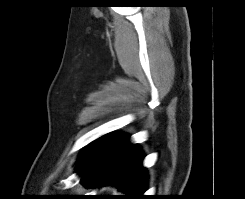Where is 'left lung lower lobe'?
Returning <instances> with one entry per match:
<instances>
[{"mask_svg":"<svg viewBox=\"0 0 245 199\" xmlns=\"http://www.w3.org/2000/svg\"><path fill=\"white\" fill-rule=\"evenodd\" d=\"M128 138L123 134L105 135L86 148L76 167L84 185L93 188L111 184L134 198H142L147 183L143 155Z\"/></svg>","mask_w":245,"mask_h":199,"instance_id":"obj_1","label":"left lung lower lobe"}]
</instances>
